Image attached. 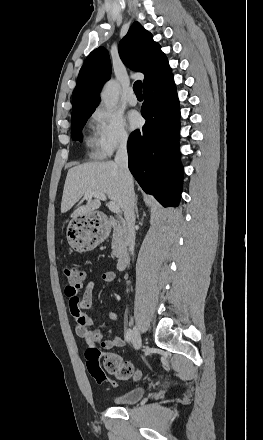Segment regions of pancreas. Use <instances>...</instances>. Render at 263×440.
Listing matches in <instances>:
<instances>
[{
  "mask_svg": "<svg viewBox=\"0 0 263 440\" xmlns=\"http://www.w3.org/2000/svg\"><path fill=\"white\" fill-rule=\"evenodd\" d=\"M125 244V234L123 233L120 226H116L113 231L112 237V254L115 257H119L121 254V249Z\"/></svg>",
  "mask_w": 263,
  "mask_h": 440,
  "instance_id": "obj_1",
  "label": "pancreas"
}]
</instances>
